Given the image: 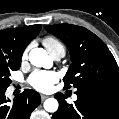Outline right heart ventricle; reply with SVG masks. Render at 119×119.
Here are the masks:
<instances>
[{
	"instance_id": "e07e8e85",
	"label": "right heart ventricle",
	"mask_w": 119,
	"mask_h": 119,
	"mask_svg": "<svg viewBox=\"0 0 119 119\" xmlns=\"http://www.w3.org/2000/svg\"><path fill=\"white\" fill-rule=\"evenodd\" d=\"M43 44L45 45V47L48 49V51L50 53H52L53 51L62 48L65 50L64 45L55 37L52 36H47L43 39Z\"/></svg>"
}]
</instances>
